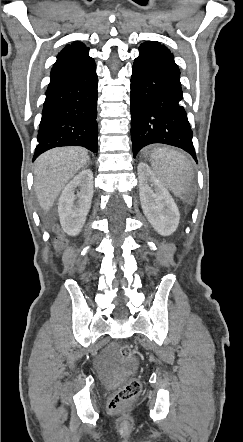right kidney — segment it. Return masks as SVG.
<instances>
[{"instance_id":"obj_1","label":"right kidney","mask_w":243,"mask_h":442,"mask_svg":"<svg viewBox=\"0 0 243 442\" xmlns=\"http://www.w3.org/2000/svg\"><path fill=\"white\" fill-rule=\"evenodd\" d=\"M80 191L75 194V191ZM93 197V173L90 169L79 172L64 188L58 202V214L63 230L77 235L91 207Z\"/></svg>"}]
</instances>
